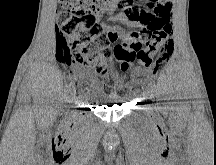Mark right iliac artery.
<instances>
[{
	"label": "right iliac artery",
	"mask_w": 216,
	"mask_h": 165,
	"mask_svg": "<svg viewBox=\"0 0 216 165\" xmlns=\"http://www.w3.org/2000/svg\"><path fill=\"white\" fill-rule=\"evenodd\" d=\"M68 98H69V99H68L66 102H67L68 104L72 103L73 100H74V97L70 95Z\"/></svg>",
	"instance_id": "1"
}]
</instances>
